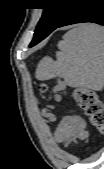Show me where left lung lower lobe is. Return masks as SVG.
Here are the masks:
<instances>
[{
  "instance_id": "left-lung-lower-lobe-1",
  "label": "left lung lower lobe",
  "mask_w": 104,
  "mask_h": 169,
  "mask_svg": "<svg viewBox=\"0 0 104 169\" xmlns=\"http://www.w3.org/2000/svg\"><path fill=\"white\" fill-rule=\"evenodd\" d=\"M103 2V0H77L74 8L57 25L56 28L82 22H92L104 25ZM50 33L51 32H42V30L35 31L33 40L30 43L29 47L36 45Z\"/></svg>"
}]
</instances>
